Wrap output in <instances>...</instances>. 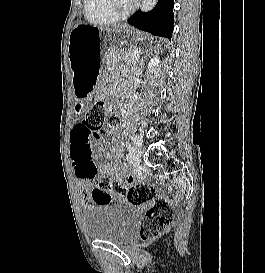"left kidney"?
Wrapping results in <instances>:
<instances>
[{"label":"left kidney","mask_w":265,"mask_h":273,"mask_svg":"<svg viewBox=\"0 0 265 273\" xmlns=\"http://www.w3.org/2000/svg\"><path fill=\"white\" fill-rule=\"evenodd\" d=\"M159 63L160 60L157 57H154L150 60V62L148 63V70L151 73H156L157 72V68L159 67Z\"/></svg>","instance_id":"1"}]
</instances>
